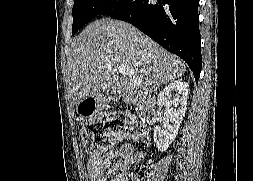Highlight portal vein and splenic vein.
Segmentation results:
<instances>
[{"instance_id": "obj_1", "label": "portal vein and splenic vein", "mask_w": 253, "mask_h": 181, "mask_svg": "<svg viewBox=\"0 0 253 181\" xmlns=\"http://www.w3.org/2000/svg\"><path fill=\"white\" fill-rule=\"evenodd\" d=\"M118 72L122 75H127V76H133L134 75V70L132 67L128 65H120L118 67Z\"/></svg>"}]
</instances>
